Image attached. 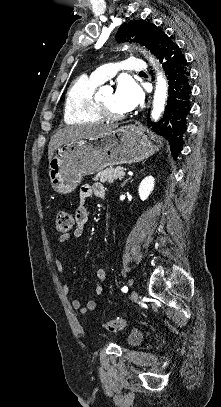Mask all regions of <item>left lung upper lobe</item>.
<instances>
[{
  "instance_id": "left-lung-upper-lobe-1",
  "label": "left lung upper lobe",
  "mask_w": 221,
  "mask_h": 407,
  "mask_svg": "<svg viewBox=\"0 0 221 407\" xmlns=\"http://www.w3.org/2000/svg\"><path fill=\"white\" fill-rule=\"evenodd\" d=\"M164 35L166 34L154 24L144 20H136L120 26L116 36L119 42L136 41L146 46L158 58L161 40Z\"/></svg>"
}]
</instances>
